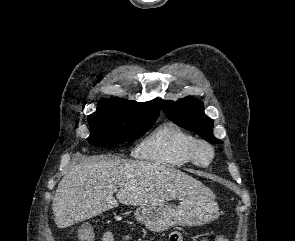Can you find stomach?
Here are the masks:
<instances>
[{
	"label": "stomach",
	"mask_w": 295,
	"mask_h": 241,
	"mask_svg": "<svg viewBox=\"0 0 295 241\" xmlns=\"http://www.w3.org/2000/svg\"><path fill=\"white\" fill-rule=\"evenodd\" d=\"M219 212V206L211 191L197 195H188L178 206L168 202L162 204H147L138 207L134 213L152 232H162L174 226H201L214 221Z\"/></svg>",
	"instance_id": "1"
}]
</instances>
